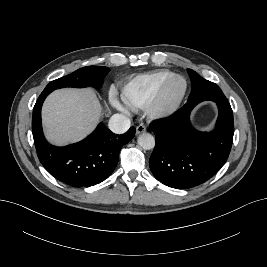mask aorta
<instances>
[{"instance_id": "obj_1", "label": "aorta", "mask_w": 267, "mask_h": 267, "mask_svg": "<svg viewBox=\"0 0 267 267\" xmlns=\"http://www.w3.org/2000/svg\"><path fill=\"white\" fill-rule=\"evenodd\" d=\"M138 144L145 150L153 149L155 146V138L150 133H142L138 137Z\"/></svg>"}]
</instances>
